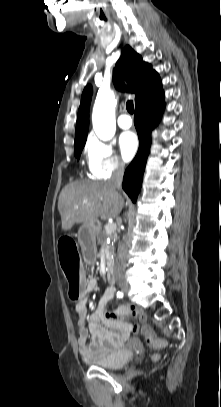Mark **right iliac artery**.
<instances>
[{
	"label": "right iliac artery",
	"instance_id": "right-iliac-artery-1",
	"mask_svg": "<svg viewBox=\"0 0 221 407\" xmlns=\"http://www.w3.org/2000/svg\"><path fill=\"white\" fill-rule=\"evenodd\" d=\"M117 296L122 297V296H123V293H122V292H118V293H117Z\"/></svg>",
	"mask_w": 221,
	"mask_h": 407
}]
</instances>
